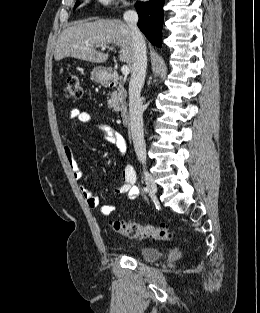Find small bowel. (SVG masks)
Returning a JSON list of instances; mask_svg holds the SVG:
<instances>
[{"label": "small bowel", "mask_w": 260, "mask_h": 313, "mask_svg": "<svg viewBox=\"0 0 260 313\" xmlns=\"http://www.w3.org/2000/svg\"><path fill=\"white\" fill-rule=\"evenodd\" d=\"M70 119H76L82 123L89 124L94 130L102 134L103 138L112 144H114L119 151L120 155L126 153V142L123 136L111 125L106 124L98 119H95L89 112L79 109H72L70 111ZM62 139L64 141V155L71 171L72 177L79 181L82 179L83 173L79 167V164L74 156L73 147L69 143V134L67 128H64ZM123 180L122 183L116 188V193L119 195H127L129 202H133L137 198L136 173L134 168L126 164L122 171ZM79 190L86 200L87 205L90 208L100 209L102 215H109L114 206L112 204H104L100 206L98 197L86 186L79 185Z\"/></svg>", "instance_id": "small-bowel-1"}]
</instances>
